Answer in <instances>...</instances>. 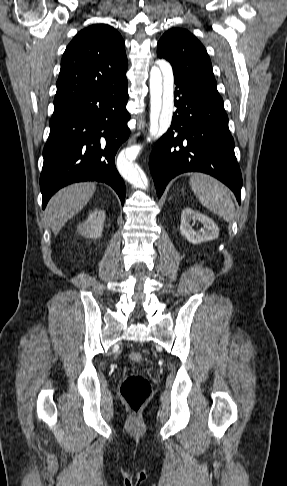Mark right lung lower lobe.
<instances>
[{
  "instance_id": "right-lung-lower-lobe-1",
  "label": "right lung lower lobe",
  "mask_w": 287,
  "mask_h": 486,
  "mask_svg": "<svg viewBox=\"0 0 287 486\" xmlns=\"http://www.w3.org/2000/svg\"><path fill=\"white\" fill-rule=\"evenodd\" d=\"M127 100L126 81L54 110L40 176L43 209L57 190L79 181L110 185L124 204L126 188L115 155L130 134Z\"/></svg>"
}]
</instances>
